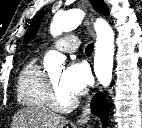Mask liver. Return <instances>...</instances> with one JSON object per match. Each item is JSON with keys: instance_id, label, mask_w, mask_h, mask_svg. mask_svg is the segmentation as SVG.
Returning a JSON list of instances; mask_svg holds the SVG:
<instances>
[{"instance_id": "liver-1", "label": "liver", "mask_w": 142, "mask_h": 128, "mask_svg": "<svg viewBox=\"0 0 142 128\" xmlns=\"http://www.w3.org/2000/svg\"><path fill=\"white\" fill-rule=\"evenodd\" d=\"M66 123L64 117L46 109L25 108L14 115L11 128H64Z\"/></svg>"}]
</instances>
